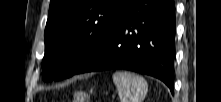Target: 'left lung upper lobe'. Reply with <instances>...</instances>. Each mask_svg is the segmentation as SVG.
<instances>
[{
  "mask_svg": "<svg viewBox=\"0 0 221 102\" xmlns=\"http://www.w3.org/2000/svg\"><path fill=\"white\" fill-rule=\"evenodd\" d=\"M128 0H51L45 29L44 81L73 76L98 50Z\"/></svg>",
  "mask_w": 221,
  "mask_h": 102,
  "instance_id": "1",
  "label": "left lung upper lobe"
}]
</instances>
